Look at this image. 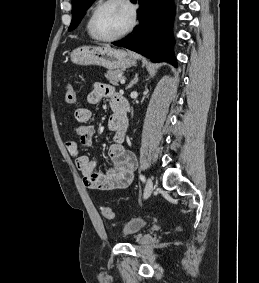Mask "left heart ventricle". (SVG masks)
<instances>
[{
  "label": "left heart ventricle",
  "instance_id": "left-heart-ventricle-1",
  "mask_svg": "<svg viewBox=\"0 0 259 283\" xmlns=\"http://www.w3.org/2000/svg\"><path fill=\"white\" fill-rule=\"evenodd\" d=\"M130 12L121 2H112L100 9L95 20L99 36L112 37L121 33L129 24Z\"/></svg>",
  "mask_w": 259,
  "mask_h": 283
}]
</instances>
